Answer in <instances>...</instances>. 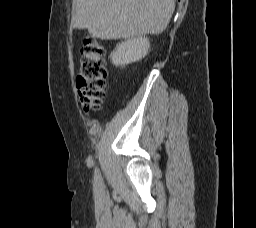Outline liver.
I'll use <instances>...</instances> for the list:
<instances>
[{"mask_svg": "<svg viewBox=\"0 0 256 228\" xmlns=\"http://www.w3.org/2000/svg\"><path fill=\"white\" fill-rule=\"evenodd\" d=\"M71 24L102 40L162 33L175 0H74Z\"/></svg>", "mask_w": 256, "mask_h": 228, "instance_id": "liver-1", "label": "liver"}]
</instances>
